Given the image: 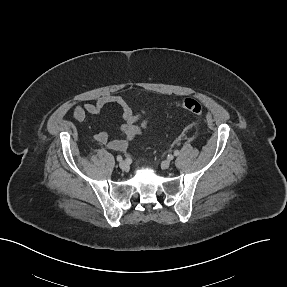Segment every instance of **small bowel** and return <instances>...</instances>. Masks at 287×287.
<instances>
[{
	"mask_svg": "<svg viewBox=\"0 0 287 287\" xmlns=\"http://www.w3.org/2000/svg\"><path fill=\"white\" fill-rule=\"evenodd\" d=\"M107 105H117L120 108V114L124 123L118 129V138L110 139L105 131L96 133L93 140L104 145L110 150L125 151L130 141L140 135L148 126V120L143 110L133 112L127 102L120 96L104 95L93 103H87L84 106H75L72 109L73 117L79 122H85L89 115L98 114Z\"/></svg>",
	"mask_w": 287,
	"mask_h": 287,
	"instance_id": "c3829d8e",
	"label": "small bowel"
}]
</instances>
